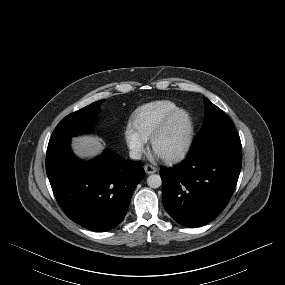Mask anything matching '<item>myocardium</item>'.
I'll use <instances>...</instances> for the list:
<instances>
[{
    "label": "myocardium",
    "mask_w": 285,
    "mask_h": 285,
    "mask_svg": "<svg viewBox=\"0 0 285 285\" xmlns=\"http://www.w3.org/2000/svg\"><path fill=\"white\" fill-rule=\"evenodd\" d=\"M179 114H184L187 117L188 123H189V129H188V134H187L185 144H184L183 148L178 153H176L174 155L159 156L156 153V143H157L158 139L165 133V131L167 130L171 121ZM194 137H195V123H194V119H193L192 115L186 109L178 108V109H175L172 112H170L162 120V122L159 124L157 129L153 132L152 136L150 137L151 150L153 151V153L157 154L163 161H165L167 163H175V162H178V161L184 159L188 155V153L190 152V150L192 148Z\"/></svg>",
    "instance_id": "obj_1"
}]
</instances>
